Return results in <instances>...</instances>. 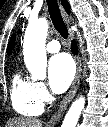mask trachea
Wrapping results in <instances>:
<instances>
[{"label": "trachea", "instance_id": "trachea-1", "mask_svg": "<svg viewBox=\"0 0 108 127\" xmlns=\"http://www.w3.org/2000/svg\"><path fill=\"white\" fill-rule=\"evenodd\" d=\"M49 14L52 23L60 35L66 39L68 37L67 27L62 19L57 0H47Z\"/></svg>", "mask_w": 108, "mask_h": 127}]
</instances>
